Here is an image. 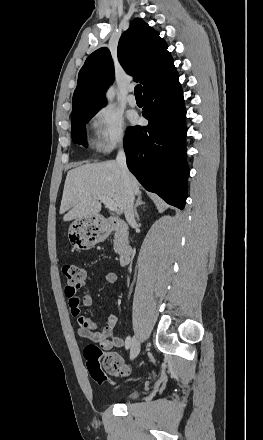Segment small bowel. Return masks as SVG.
Listing matches in <instances>:
<instances>
[{"label":"small bowel","instance_id":"obj_1","mask_svg":"<svg viewBox=\"0 0 263 440\" xmlns=\"http://www.w3.org/2000/svg\"><path fill=\"white\" fill-rule=\"evenodd\" d=\"M117 280V274L109 271L103 275L104 283L112 285ZM86 287L83 282L79 287H66V296L68 297L69 308L71 314L77 321V333L80 337L98 343L102 349L110 350L112 348H120L123 346V339L114 336V330L118 322L115 314H110L107 319V325L99 330L96 322L90 317L84 315L81 309L88 308L92 305L93 298L90 291H87L82 297L78 296V291Z\"/></svg>","mask_w":263,"mask_h":440}]
</instances>
